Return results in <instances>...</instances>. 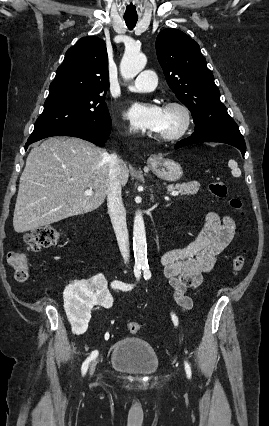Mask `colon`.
Returning <instances> with one entry per match:
<instances>
[{
  "label": "colon",
  "instance_id": "obj_1",
  "mask_svg": "<svg viewBox=\"0 0 269 426\" xmlns=\"http://www.w3.org/2000/svg\"><path fill=\"white\" fill-rule=\"evenodd\" d=\"M210 193L220 199H225L228 194L227 186L223 182H211L209 184ZM229 206L238 211L241 215H245L242 209V203L238 198H230ZM61 231L50 225H44L34 229L25 236V242L31 250H40L55 246L61 238ZM9 267L13 270L15 279L20 282L27 281L30 277V266L26 255L21 252L11 251L6 257ZM245 265L244 254L237 255L232 262L234 272H239ZM142 325L137 322L127 324V329L131 334L140 332Z\"/></svg>",
  "mask_w": 269,
  "mask_h": 426
}]
</instances>
